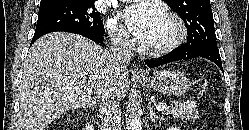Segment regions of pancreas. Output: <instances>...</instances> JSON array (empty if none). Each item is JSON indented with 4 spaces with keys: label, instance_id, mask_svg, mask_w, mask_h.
Segmentation results:
<instances>
[{
    "label": "pancreas",
    "instance_id": "1",
    "mask_svg": "<svg viewBox=\"0 0 249 130\" xmlns=\"http://www.w3.org/2000/svg\"><path fill=\"white\" fill-rule=\"evenodd\" d=\"M164 112L171 114L175 118L195 121L198 117V109L196 102L190 101L186 103L173 102Z\"/></svg>",
    "mask_w": 249,
    "mask_h": 130
}]
</instances>
